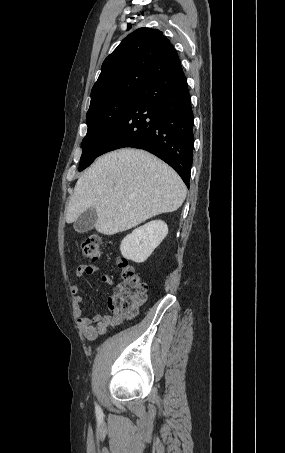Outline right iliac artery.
I'll use <instances>...</instances> for the list:
<instances>
[{"label": "right iliac artery", "instance_id": "right-iliac-artery-1", "mask_svg": "<svg viewBox=\"0 0 285 453\" xmlns=\"http://www.w3.org/2000/svg\"><path fill=\"white\" fill-rule=\"evenodd\" d=\"M96 411H97V412H100V408H99L98 405H96Z\"/></svg>", "mask_w": 285, "mask_h": 453}]
</instances>
